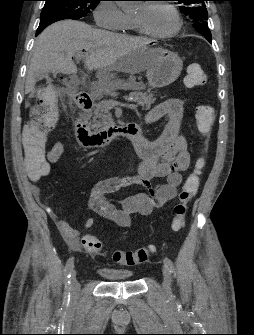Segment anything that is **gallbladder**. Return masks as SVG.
<instances>
[{"label":"gallbladder","mask_w":254,"mask_h":335,"mask_svg":"<svg viewBox=\"0 0 254 335\" xmlns=\"http://www.w3.org/2000/svg\"><path fill=\"white\" fill-rule=\"evenodd\" d=\"M49 78L48 73H41L38 75L37 79Z\"/></svg>","instance_id":"1"}]
</instances>
